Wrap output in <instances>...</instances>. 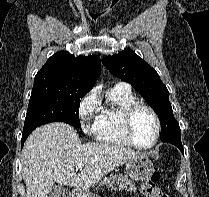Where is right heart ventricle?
<instances>
[{"label": "right heart ventricle", "mask_w": 209, "mask_h": 197, "mask_svg": "<svg viewBox=\"0 0 209 197\" xmlns=\"http://www.w3.org/2000/svg\"><path fill=\"white\" fill-rule=\"evenodd\" d=\"M135 101L136 96L126 84H117L108 91L93 125L98 141L119 146L130 145L123 133L122 116L125 108Z\"/></svg>", "instance_id": "right-heart-ventricle-1"}]
</instances>
